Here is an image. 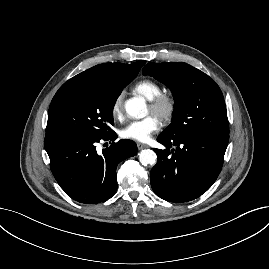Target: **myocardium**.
I'll return each instance as SVG.
<instances>
[{
    "label": "myocardium",
    "mask_w": 269,
    "mask_h": 269,
    "mask_svg": "<svg viewBox=\"0 0 269 269\" xmlns=\"http://www.w3.org/2000/svg\"><path fill=\"white\" fill-rule=\"evenodd\" d=\"M150 112L159 118L162 123H169L177 110L176 98L169 93H160L149 101Z\"/></svg>",
    "instance_id": "f54148a6"
}]
</instances>
